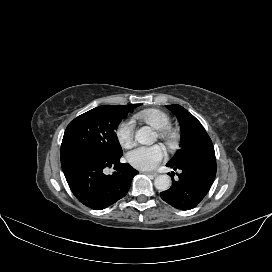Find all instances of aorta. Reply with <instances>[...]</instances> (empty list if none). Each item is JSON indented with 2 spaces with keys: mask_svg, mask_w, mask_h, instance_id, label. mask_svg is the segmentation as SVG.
<instances>
[{
  "mask_svg": "<svg viewBox=\"0 0 272 272\" xmlns=\"http://www.w3.org/2000/svg\"><path fill=\"white\" fill-rule=\"evenodd\" d=\"M135 140L140 144L150 145L156 140V135L148 126L141 127L135 134ZM154 185L159 191H166L171 185V179L168 175H159L154 180Z\"/></svg>",
  "mask_w": 272,
  "mask_h": 272,
  "instance_id": "obj_1",
  "label": "aorta"
}]
</instances>
